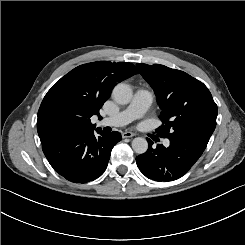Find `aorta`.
<instances>
[{
	"label": "aorta",
	"instance_id": "1",
	"mask_svg": "<svg viewBox=\"0 0 245 245\" xmlns=\"http://www.w3.org/2000/svg\"><path fill=\"white\" fill-rule=\"evenodd\" d=\"M112 96L117 103L128 104L132 99V89L127 84H117L113 89ZM132 148L137 154H143L148 149V142L142 137H136L132 141Z\"/></svg>",
	"mask_w": 245,
	"mask_h": 245
}]
</instances>
